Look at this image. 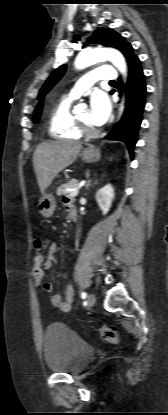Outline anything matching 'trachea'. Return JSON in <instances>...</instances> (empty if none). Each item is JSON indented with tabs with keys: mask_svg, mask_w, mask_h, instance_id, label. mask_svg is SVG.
Returning <instances> with one entry per match:
<instances>
[{
	"mask_svg": "<svg viewBox=\"0 0 168 415\" xmlns=\"http://www.w3.org/2000/svg\"><path fill=\"white\" fill-rule=\"evenodd\" d=\"M110 83H115V81H111Z\"/></svg>",
	"mask_w": 168,
	"mask_h": 415,
	"instance_id": "trachea-1",
	"label": "trachea"
}]
</instances>
